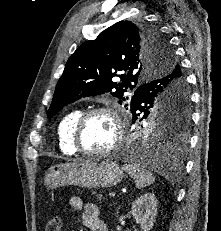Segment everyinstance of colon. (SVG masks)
Masks as SVG:
<instances>
[{
  "mask_svg": "<svg viewBox=\"0 0 221 231\" xmlns=\"http://www.w3.org/2000/svg\"><path fill=\"white\" fill-rule=\"evenodd\" d=\"M62 228V220L59 216L50 218L46 224V231H60Z\"/></svg>",
  "mask_w": 221,
  "mask_h": 231,
  "instance_id": "colon-1",
  "label": "colon"
}]
</instances>
